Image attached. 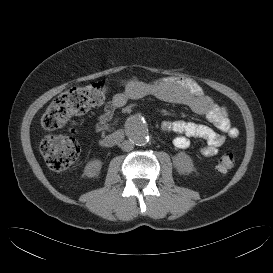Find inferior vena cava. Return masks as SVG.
Listing matches in <instances>:
<instances>
[{"mask_svg":"<svg viewBox=\"0 0 273 273\" xmlns=\"http://www.w3.org/2000/svg\"><path fill=\"white\" fill-rule=\"evenodd\" d=\"M133 148H134V143L129 140H124L121 143V149L125 152H129V151L133 150Z\"/></svg>","mask_w":273,"mask_h":273,"instance_id":"1","label":"inferior vena cava"}]
</instances>
